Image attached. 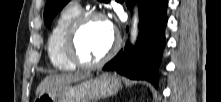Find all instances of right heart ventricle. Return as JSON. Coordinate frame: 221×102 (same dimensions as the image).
<instances>
[{
  "label": "right heart ventricle",
  "instance_id": "obj_1",
  "mask_svg": "<svg viewBox=\"0 0 221 102\" xmlns=\"http://www.w3.org/2000/svg\"><path fill=\"white\" fill-rule=\"evenodd\" d=\"M81 13V8L76 4H70L59 13L47 41V51L52 65L61 71H69L75 68L66 57L64 46L67 31L74 19Z\"/></svg>",
  "mask_w": 221,
  "mask_h": 102
}]
</instances>
